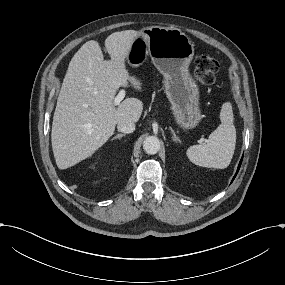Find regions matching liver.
I'll list each match as a JSON object with an SVG mask.
<instances>
[{
	"instance_id": "1",
	"label": "liver",
	"mask_w": 285,
	"mask_h": 285,
	"mask_svg": "<svg viewBox=\"0 0 285 285\" xmlns=\"http://www.w3.org/2000/svg\"><path fill=\"white\" fill-rule=\"evenodd\" d=\"M139 31L114 32L105 40L111 59L104 60L99 43L87 41L72 57L57 99L51 142L59 169H67L90 157L113 135L121 120L137 122L143 103L126 98L118 107L114 98L128 82L140 90L142 83L125 66Z\"/></svg>"
}]
</instances>
